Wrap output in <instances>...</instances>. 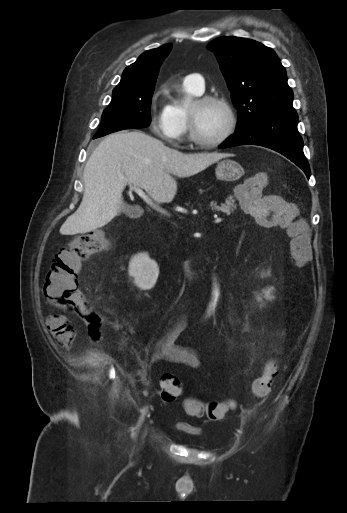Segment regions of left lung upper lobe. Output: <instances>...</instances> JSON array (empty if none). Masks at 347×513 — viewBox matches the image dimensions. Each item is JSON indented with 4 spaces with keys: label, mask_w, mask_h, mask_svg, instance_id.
<instances>
[{
    "label": "left lung upper lobe",
    "mask_w": 347,
    "mask_h": 513,
    "mask_svg": "<svg viewBox=\"0 0 347 513\" xmlns=\"http://www.w3.org/2000/svg\"><path fill=\"white\" fill-rule=\"evenodd\" d=\"M208 48L217 55L238 109L236 132L268 115L296 113L286 70L271 48L239 37H219Z\"/></svg>",
    "instance_id": "5c2ea615"
}]
</instances>
